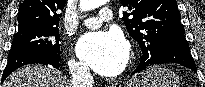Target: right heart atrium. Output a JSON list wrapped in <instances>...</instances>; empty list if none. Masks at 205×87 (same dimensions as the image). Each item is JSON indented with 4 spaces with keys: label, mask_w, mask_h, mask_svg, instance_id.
I'll list each match as a JSON object with an SVG mask.
<instances>
[{
    "label": "right heart atrium",
    "mask_w": 205,
    "mask_h": 87,
    "mask_svg": "<svg viewBox=\"0 0 205 87\" xmlns=\"http://www.w3.org/2000/svg\"><path fill=\"white\" fill-rule=\"evenodd\" d=\"M69 68L74 75H81V74H87L89 73V69L87 65L76 59H70L69 61Z\"/></svg>",
    "instance_id": "1"
}]
</instances>
